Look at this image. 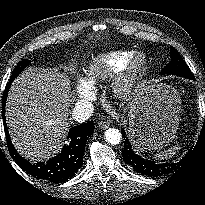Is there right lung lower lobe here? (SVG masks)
<instances>
[{
    "label": "right lung lower lobe",
    "mask_w": 205,
    "mask_h": 205,
    "mask_svg": "<svg viewBox=\"0 0 205 205\" xmlns=\"http://www.w3.org/2000/svg\"><path fill=\"white\" fill-rule=\"evenodd\" d=\"M10 85L11 82L6 85L2 97V118L8 150L11 157L24 171L37 179L46 180L52 183L65 182L69 178L73 177L82 167L85 145L87 139L94 131L93 121L72 127L69 130V134L67 136L70 142L68 145L63 147L60 154L48 160L47 162H38L36 164H32L17 153L12 145L8 133L5 118V101Z\"/></svg>",
    "instance_id": "obj_1"
}]
</instances>
